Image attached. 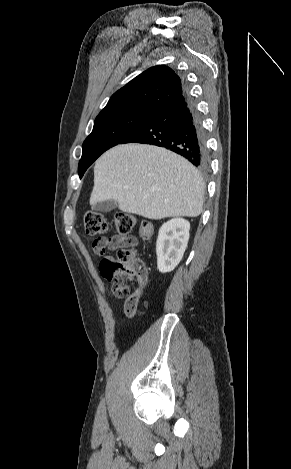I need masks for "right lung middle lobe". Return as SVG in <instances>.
Listing matches in <instances>:
<instances>
[{
	"mask_svg": "<svg viewBox=\"0 0 291 469\" xmlns=\"http://www.w3.org/2000/svg\"><path fill=\"white\" fill-rule=\"evenodd\" d=\"M152 114L153 112L143 110H127L96 117L93 131L83 143V154L78 167L80 178L103 152L119 144Z\"/></svg>",
	"mask_w": 291,
	"mask_h": 469,
	"instance_id": "1",
	"label": "right lung middle lobe"
}]
</instances>
